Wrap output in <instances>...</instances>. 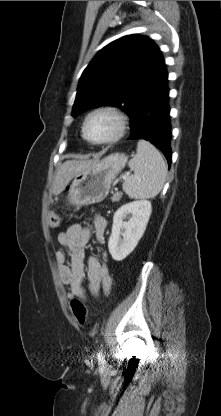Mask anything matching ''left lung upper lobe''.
Segmentation results:
<instances>
[{
    "mask_svg": "<svg viewBox=\"0 0 221 416\" xmlns=\"http://www.w3.org/2000/svg\"><path fill=\"white\" fill-rule=\"evenodd\" d=\"M163 66L161 51L148 37L128 35L110 43L84 70L72 115L112 105L133 120L138 103L154 86Z\"/></svg>",
    "mask_w": 221,
    "mask_h": 416,
    "instance_id": "5c2ea615",
    "label": "left lung upper lobe"
}]
</instances>
